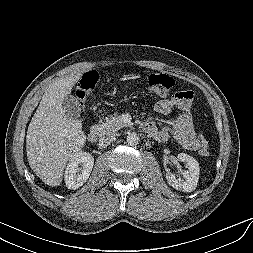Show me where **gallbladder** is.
Here are the masks:
<instances>
[{"label": "gallbladder", "instance_id": "obj_1", "mask_svg": "<svg viewBox=\"0 0 253 253\" xmlns=\"http://www.w3.org/2000/svg\"><path fill=\"white\" fill-rule=\"evenodd\" d=\"M62 106L65 111V114L69 118L76 119L80 117L81 107L78 100L75 97L71 95L66 96L62 102Z\"/></svg>", "mask_w": 253, "mask_h": 253}]
</instances>
